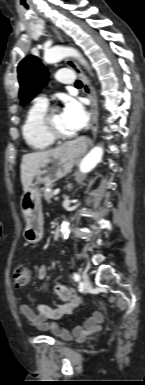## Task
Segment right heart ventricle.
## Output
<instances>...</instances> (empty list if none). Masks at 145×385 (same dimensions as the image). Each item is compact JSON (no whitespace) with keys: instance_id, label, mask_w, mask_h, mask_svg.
<instances>
[{"instance_id":"1","label":"right heart ventricle","mask_w":145,"mask_h":385,"mask_svg":"<svg viewBox=\"0 0 145 385\" xmlns=\"http://www.w3.org/2000/svg\"><path fill=\"white\" fill-rule=\"evenodd\" d=\"M47 108L46 104L33 103L27 110L21 125L23 139L26 145L33 150H44L53 144V140L43 132L41 127V120Z\"/></svg>"}]
</instances>
